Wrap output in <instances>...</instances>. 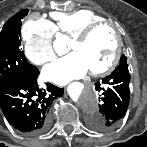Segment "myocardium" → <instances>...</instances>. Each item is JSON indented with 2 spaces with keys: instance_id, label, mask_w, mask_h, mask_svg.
<instances>
[{
  "instance_id": "myocardium-1",
  "label": "myocardium",
  "mask_w": 147,
  "mask_h": 147,
  "mask_svg": "<svg viewBox=\"0 0 147 147\" xmlns=\"http://www.w3.org/2000/svg\"><path fill=\"white\" fill-rule=\"evenodd\" d=\"M101 28H110L113 30L116 36V48L111 61L105 67L100 70L90 71V74L94 77H102L108 75L117 67L122 55L123 48L122 38L118 29L113 23L104 20L89 25L87 28H85L72 38V43L86 42L95 31Z\"/></svg>"
}]
</instances>
